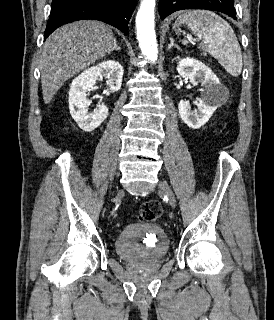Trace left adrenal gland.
Returning <instances> with one entry per match:
<instances>
[{"label":"left adrenal gland","instance_id":"1","mask_svg":"<svg viewBox=\"0 0 274 320\" xmlns=\"http://www.w3.org/2000/svg\"><path fill=\"white\" fill-rule=\"evenodd\" d=\"M171 48H176V50H181L177 44H174L173 38H170V44H168V50H171Z\"/></svg>","mask_w":274,"mask_h":320}]
</instances>
